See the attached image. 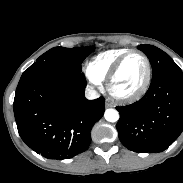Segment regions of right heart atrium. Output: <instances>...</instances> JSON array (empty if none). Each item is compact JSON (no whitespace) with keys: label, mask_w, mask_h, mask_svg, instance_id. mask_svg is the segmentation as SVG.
<instances>
[{"label":"right heart atrium","mask_w":183,"mask_h":183,"mask_svg":"<svg viewBox=\"0 0 183 183\" xmlns=\"http://www.w3.org/2000/svg\"><path fill=\"white\" fill-rule=\"evenodd\" d=\"M86 75L92 83H94V84H99L100 83V80L95 75L92 74L89 67L86 69Z\"/></svg>","instance_id":"obj_1"}]
</instances>
